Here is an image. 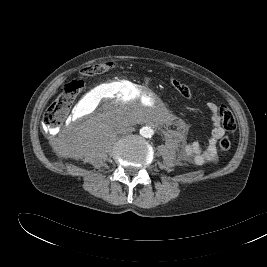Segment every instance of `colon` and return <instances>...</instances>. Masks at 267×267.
Returning a JSON list of instances; mask_svg holds the SVG:
<instances>
[{
  "label": "colon",
  "instance_id": "1",
  "mask_svg": "<svg viewBox=\"0 0 267 267\" xmlns=\"http://www.w3.org/2000/svg\"><path fill=\"white\" fill-rule=\"evenodd\" d=\"M107 64H94L83 69V74L93 76L103 72ZM171 86L185 99H189L192 95L191 89L185 83L176 79H171ZM83 88V81L75 79L63 86L58 97L51 103L44 114V122L48 128L59 126L68 116L77 95ZM220 116L223 126L233 131L236 129V120L233 113L226 107L220 106ZM231 148V141L228 137H223L219 141V149L222 152H228Z\"/></svg>",
  "mask_w": 267,
  "mask_h": 267
}]
</instances>
